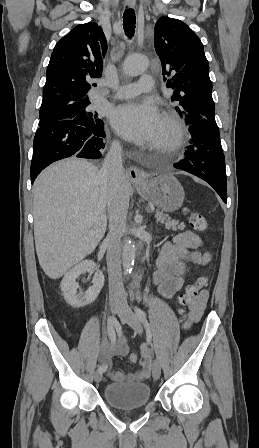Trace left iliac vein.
Masks as SVG:
<instances>
[{
    "label": "left iliac vein",
    "mask_w": 259,
    "mask_h": 448,
    "mask_svg": "<svg viewBox=\"0 0 259 448\" xmlns=\"http://www.w3.org/2000/svg\"><path fill=\"white\" fill-rule=\"evenodd\" d=\"M119 317L127 323L136 333L141 334L143 331L140 318L133 312L127 301H122L118 309ZM152 375L155 380H158L161 375V365L158 360H154L152 366Z\"/></svg>",
    "instance_id": "1"
}]
</instances>
